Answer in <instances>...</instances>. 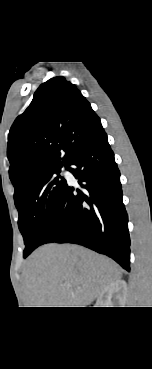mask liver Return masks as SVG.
<instances>
[{"mask_svg": "<svg viewBox=\"0 0 152 369\" xmlns=\"http://www.w3.org/2000/svg\"><path fill=\"white\" fill-rule=\"evenodd\" d=\"M122 271L109 258L77 245L35 250L23 272L27 307H87Z\"/></svg>", "mask_w": 152, "mask_h": 369, "instance_id": "liver-1", "label": "liver"}]
</instances>
